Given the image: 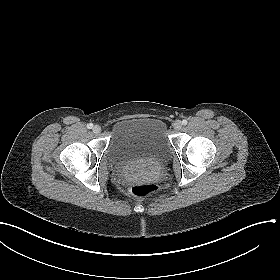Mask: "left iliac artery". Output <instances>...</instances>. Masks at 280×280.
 I'll return each instance as SVG.
<instances>
[{"mask_svg": "<svg viewBox=\"0 0 280 280\" xmlns=\"http://www.w3.org/2000/svg\"><path fill=\"white\" fill-rule=\"evenodd\" d=\"M187 123H188V122H187V120H185V119L182 121V124H183V125H186Z\"/></svg>", "mask_w": 280, "mask_h": 280, "instance_id": "obj_1", "label": "left iliac artery"}]
</instances>
